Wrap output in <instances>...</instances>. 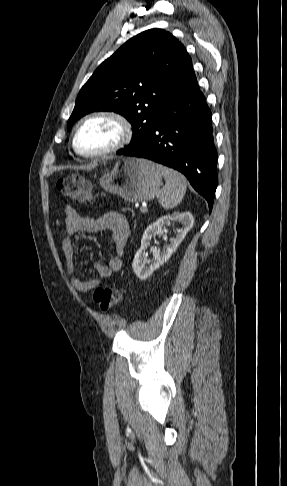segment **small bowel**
<instances>
[{
    "label": "small bowel",
    "instance_id": "obj_1",
    "mask_svg": "<svg viewBox=\"0 0 287 486\" xmlns=\"http://www.w3.org/2000/svg\"><path fill=\"white\" fill-rule=\"evenodd\" d=\"M64 221L66 236L62 241V250L66 260V272L73 288L78 292H88L99 286L103 280L113 273L119 272L122 267L121 256L129 238L130 229L127 218L116 211H109L97 218L81 214L72 206L65 208ZM80 232H106L108 233L115 251L107 264L97 263L95 269L98 278L87 281L82 280L76 271L75 249L73 237Z\"/></svg>",
    "mask_w": 287,
    "mask_h": 486
}]
</instances>
